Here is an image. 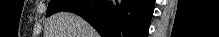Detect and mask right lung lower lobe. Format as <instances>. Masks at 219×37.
I'll return each mask as SVG.
<instances>
[{
    "instance_id": "right-lung-lower-lobe-1",
    "label": "right lung lower lobe",
    "mask_w": 219,
    "mask_h": 37,
    "mask_svg": "<svg viewBox=\"0 0 219 37\" xmlns=\"http://www.w3.org/2000/svg\"><path fill=\"white\" fill-rule=\"evenodd\" d=\"M154 0H79L63 11L78 14L102 37H146Z\"/></svg>"
}]
</instances>
